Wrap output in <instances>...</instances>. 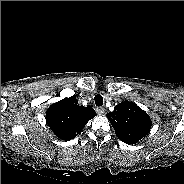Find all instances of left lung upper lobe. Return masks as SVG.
Masks as SVG:
<instances>
[{
  "label": "left lung upper lobe",
  "mask_w": 184,
  "mask_h": 184,
  "mask_svg": "<svg viewBox=\"0 0 184 184\" xmlns=\"http://www.w3.org/2000/svg\"><path fill=\"white\" fill-rule=\"evenodd\" d=\"M106 116L117 137L127 144H135L145 137L152 125L149 115L130 101L119 103Z\"/></svg>",
  "instance_id": "left-lung-upper-lobe-1"
}]
</instances>
